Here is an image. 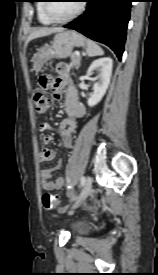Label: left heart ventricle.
Here are the masks:
<instances>
[{
    "label": "left heart ventricle",
    "mask_w": 158,
    "mask_h": 275,
    "mask_svg": "<svg viewBox=\"0 0 158 275\" xmlns=\"http://www.w3.org/2000/svg\"><path fill=\"white\" fill-rule=\"evenodd\" d=\"M79 5L80 1H53L50 4V11L57 18H66L73 14Z\"/></svg>",
    "instance_id": "obj_1"
}]
</instances>
